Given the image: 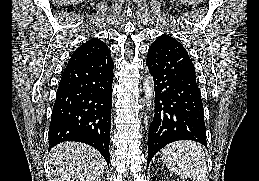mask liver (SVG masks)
I'll return each mask as SVG.
<instances>
[{
    "instance_id": "6515ba94",
    "label": "liver",
    "mask_w": 259,
    "mask_h": 181,
    "mask_svg": "<svg viewBox=\"0 0 259 181\" xmlns=\"http://www.w3.org/2000/svg\"><path fill=\"white\" fill-rule=\"evenodd\" d=\"M51 181H101L105 160L93 147L64 142L50 152Z\"/></svg>"
}]
</instances>
